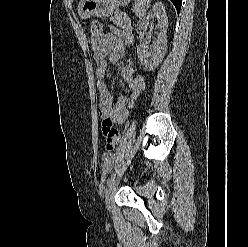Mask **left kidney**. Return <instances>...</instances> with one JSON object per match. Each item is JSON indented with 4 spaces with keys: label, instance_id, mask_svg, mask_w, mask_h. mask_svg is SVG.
I'll return each instance as SVG.
<instances>
[{
    "label": "left kidney",
    "instance_id": "1",
    "mask_svg": "<svg viewBox=\"0 0 248 247\" xmlns=\"http://www.w3.org/2000/svg\"><path fill=\"white\" fill-rule=\"evenodd\" d=\"M157 21L158 37L153 42V48L148 50L143 45L137 46V55L147 71L154 70L163 60L167 49L168 18L162 3H155L150 13L138 22L139 30H145L152 21Z\"/></svg>",
    "mask_w": 248,
    "mask_h": 247
}]
</instances>
